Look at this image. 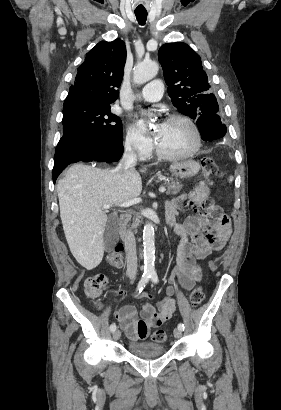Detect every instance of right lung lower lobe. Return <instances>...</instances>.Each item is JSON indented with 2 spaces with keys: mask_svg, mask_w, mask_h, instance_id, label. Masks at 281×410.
Instances as JSON below:
<instances>
[{
  "mask_svg": "<svg viewBox=\"0 0 281 410\" xmlns=\"http://www.w3.org/2000/svg\"><path fill=\"white\" fill-rule=\"evenodd\" d=\"M122 153V141L111 143H85L58 150L54 156L53 182H56L58 175L71 163L79 161L110 163L118 161Z\"/></svg>",
  "mask_w": 281,
  "mask_h": 410,
  "instance_id": "1",
  "label": "right lung lower lobe"
}]
</instances>
